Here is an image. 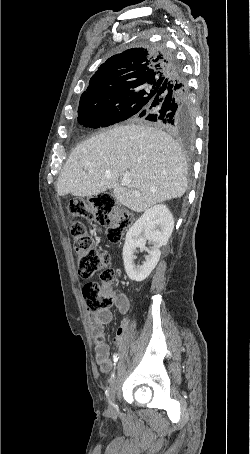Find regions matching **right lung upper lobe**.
Wrapping results in <instances>:
<instances>
[{
  "instance_id": "right-lung-upper-lobe-1",
  "label": "right lung upper lobe",
  "mask_w": 250,
  "mask_h": 454,
  "mask_svg": "<svg viewBox=\"0 0 250 454\" xmlns=\"http://www.w3.org/2000/svg\"><path fill=\"white\" fill-rule=\"evenodd\" d=\"M171 71L163 50L131 48L110 57L91 77L79 105L99 103L124 96L139 86H160Z\"/></svg>"
}]
</instances>
